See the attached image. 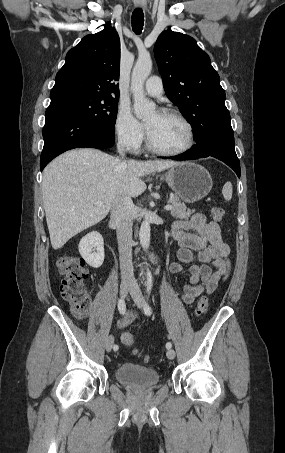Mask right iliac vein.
Instances as JSON below:
<instances>
[{
  "label": "right iliac vein",
  "instance_id": "obj_1",
  "mask_svg": "<svg viewBox=\"0 0 285 453\" xmlns=\"http://www.w3.org/2000/svg\"><path fill=\"white\" fill-rule=\"evenodd\" d=\"M131 288H132L131 283L126 282V281L122 282L120 285L121 297H126L128 292L131 290ZM113 344H114V337L112 335H110L109 337H107V339L105 341V349L107 352H110L112 350Z\"/></svg>",
  "mask_w": 285,
  "mask_h": 453
}]
</instances>
